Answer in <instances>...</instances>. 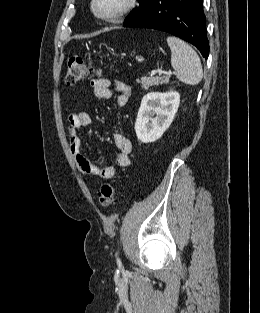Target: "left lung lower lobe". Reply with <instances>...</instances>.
I'll list each match as a JSON object with an SVG mask.
<instances>
[{
  "instance_id": "0a47b994",
  "label": "left lung lower lobe",
  "mask_w": 260,
  "mask_h": 313,
  "mask_svg": "<svg viewBox=\"0 0 260 313\" xmlns=\"http://www.w3.org/2000/svg\"><path fill=\"white\" fill-rule=\"evenodd\" d=\"M124 27L152 28L171 33L190 42L203 57H208L202 0H150Z\"/></svg>"
}]
</instances>
